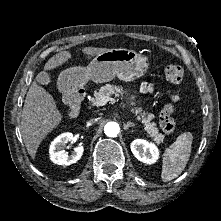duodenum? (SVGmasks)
<instances>
[{
	"instance_id": "410a0bca",
	"label": "duodenum",
	"mask_w": 221,
	"mask_h": 221,
	"mask_svg": "<svg viewBox=\"0 0 221 221\" xmlns=\"http://www.w3.org/2000/svg\"><path fill=\"white\" fill-rule=\"evenodd\" d=\"M77 103H78V105H79V104L81 103V99H80ZM71 106L73 107V112L75 113V115H78V110L75 109V106H76V105L71 104Z\"/></svg>"
}]
</instances>
